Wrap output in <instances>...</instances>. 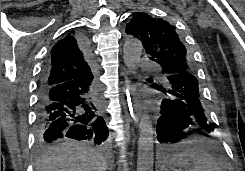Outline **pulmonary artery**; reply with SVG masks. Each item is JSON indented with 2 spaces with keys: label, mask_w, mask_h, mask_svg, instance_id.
Here are the masks:
<instances>
[{
  "label": "pulmonary artery",
  "mask_w": 245,
  "mask_h": 171,
  "mask_svg": "<svg viewBox=\"0 0 245 171\" xmlns=\"http://www.w3.org/2000/svg\"><path fill=\"white\" fill-rule=\"evenodd\" d=\"M139 61H140V67H141V69H149V68L155 66L154 62L151 61L148 58L142 57V58L139 59Z\"/></svg>",
  "instance_id": "obj_1"
}]
</instances>
